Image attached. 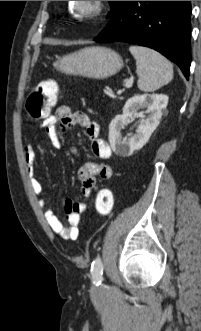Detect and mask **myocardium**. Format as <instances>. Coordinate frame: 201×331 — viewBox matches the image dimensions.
Here are the masks:
<instances>
[{
    "mask_svg": "<svg viewBox=\"0 0 201 331\" xmlns=\"http://www.w3.org/2000/svg\"><path fill=\"white\" fill-rule=\"evenodd\" d=\"M105 8V1H74L75 11L85 18L99 16Z\"/></svg>",
    "mask_w": 201,
    "mask_h": 331,
    "instance_id": "f54148a6",
    "label": "myocardium"
}]
</instances>
